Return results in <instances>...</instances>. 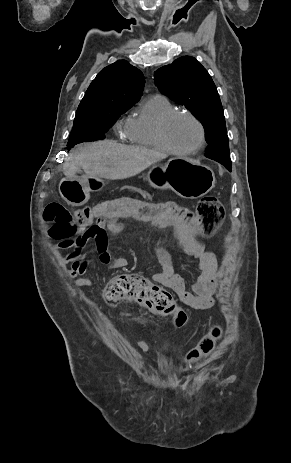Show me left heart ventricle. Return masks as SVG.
<instances>
[{
	"instance_id": "1",
	"label": "left heart ventricle",
	"mask_w": 291,
	"mask_h": 463,
	"mask_svg": "<svg viewBox=\"0 0 291 463\" xmlns=\"http://www.w3.org/2000/svg\"><path fill=\"white\" fill-rule=\"evenodd\" d=\"M167 137L174 147L178 149H189L198 143L200 131L198 126L191 119L185 116H179L169 124Z\"/></svg>"
}]
</instances>
